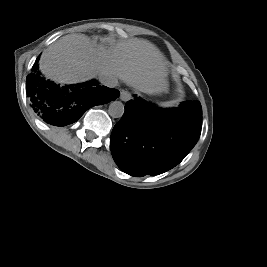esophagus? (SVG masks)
Returning <instances> with one entry per match:
<instances>
[{
  "label": "esophagus",
  "instance_id": "esophagus-1",
  "mask_svg": "<svg viewBox=\"0 0 267 267\" xmlns=\"http://www.w3.org/2000/svg\"><path fill=\"white\" fill-rule=\"evenodd\" d=\"M120 99L124 102L128 101L131 99V94L130 92L126 91V90H122L120 93Z\"/></svg>",
  "mask_w": 267,
  "mask_h": 267
}]
</instances>
